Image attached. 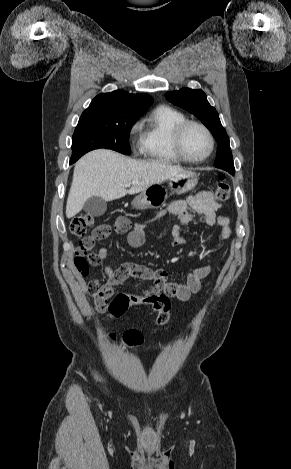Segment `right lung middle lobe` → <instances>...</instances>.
<instances>
[{"instance_id": "obj_1", "label": "right lung middle lobe", "mask_w": 291, "mask_h": 469, "mask_svg": "<svg viewBox=\"0 0 291 469\" xmlns=\"http://www.w3.org/2000/svg\"><path fill=\"white\" fill-rule=\"evenodd\" d=\"M138 118H100L81 116L72 137L70 164L85 153L107 148L125 155L131 154L129 133Z\"/></svg>"}]
</instances>
